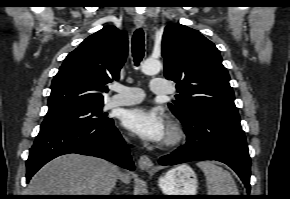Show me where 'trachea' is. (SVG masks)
<instances>
[{
    "instance_id": "obj_1",
    "label": "trachea",
    "mask_w": 290,
    "mask_h": 199,
    "mask_svg": "<svg viewBox=\"0 0 290 199\" xmlns=\"http://www.w3.org/2000/svg\"><path fill=\"white\" fill-rule=\"evenodd\" d=\"M144 32L141 28L137 29L134 32L133 38H132V53H133V59L136 66L140 64L144 57Z\"/></svg>"
}]
</instances>
